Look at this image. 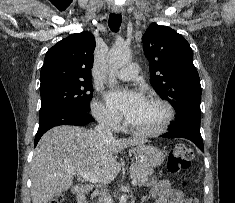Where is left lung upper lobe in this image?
I'll return each instance as SVG.
<instances>
[{"label": "left lung upper lobe", "mask_w": 235, "mask_h": 203, "mask_svg": "<svg viewBox=\"0 0 235 203\" xmlns=\"http://www.w3.org/2000/svg\"><path fill=\"white\" fill-rule=\"evenodd\" d=\"M149 61L150 83L176 111V120L201 119V85L186 39L167 26L152 23L142 37Z\"/></svg>", "instance_id": "1"}]
</instances>
